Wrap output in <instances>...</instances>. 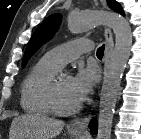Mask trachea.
Here are the masks:
<instances>
[{"mask_svg": "<svg viewBox=\"0 0 141 139\" xmlns=\"http://www.w3.org/2000/svg\"><path fill=\"white\" fill-rule=\"evenodd\" d=\"M104 54V45L97 49V57H103Z\"/></svg>", "mask_w": 141, "mask_h": 139, "instance_id": "trachea-1", "label": "trachea"}]
</instances>
